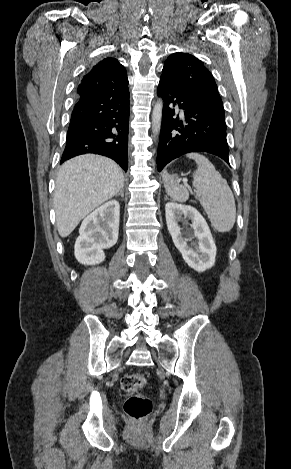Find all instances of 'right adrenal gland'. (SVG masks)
I'll use <instances>...</instances> for the list:
<instances>
[{
  "instance_id": "1",
  "label": "right adrenal gland",
  "mask_w": 291,
  "mask_h": 469,
  "mask_svg": "<svg viewBox=\"0 0 291 469\" xmlns=\"http://www.w3.org/2000/svg\"><path fill=\"white\" fill-rule=\"evenodd\" d=\"M123 190L124 188H122L115 196L117 197L120 195L123 198L124 197Z\"/></svg>"
}]
</instances>
